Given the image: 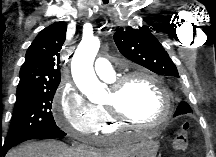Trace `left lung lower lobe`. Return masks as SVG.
Returning a JSON list of instances; mask_svg holds the SVG:
<instances>
[{
    "label": "left lung lower lobe",
    "mask_w": 216,
    "mask_h": 157,
    "mask_svg": "<svg viewBox=\"0 0 216 157\" xmlns=\"http://www.w3.org/2000/svg\"><path fill=\"white\" fill-rule=\"evenodd\" d=\"M186 106H189V105H188L187 103H185V102L181 103V104L178 106V108H177V110H176L174 116H178V115H181V114L188 113L187 110H181V109L185 108Z\"/></svg>",
    "instance_id": "left-lung-lower-lobe-1"
}]
</instances>
